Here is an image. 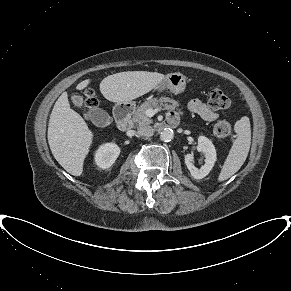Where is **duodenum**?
<instances>
[{"mask_svg":"<svg viewBox=\"0 0 291 291\" xmlns=\"http://www.w3.org/2000/svg\"><path fill=\"white\" fill-rule=\"evenodd\" d=\"M133 107L130 104H122L119 105L115 109V121L117 127L122 131H127L131 128V113H132ZM177 123V119L175 118H168L165 122H163L160 126L162 128L164 127H170L174 126Z\"/></svg>","mask_w":291,"mask_h":291,"instance_id":"duodenum-1","label":"duodenum"}]
</instances>
